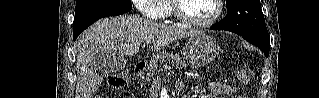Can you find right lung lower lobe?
Returning <instances> with one entry per match:
<instances>
[{
  "label": "right lung lower lobe",
  "mask_w": 319,
  "mask_h": 98,
  "mask_svg": "<svg viewBox=\"0 0 319 98\" xmlns=\"http://www.w3.org/2000/svg\"><path fill=\"white\" fill-rule=\"evenodd\" d=\"M128 11L130 10L105 9L100 11L87 12V13L75 16L74 22H73V40L75 41L78 35L84 29H86L88 26H90L92 23H94L98 19L103 17H108V16L122 15Z\"/></svg>",
  "instance_id": "obj_1"
}]
</instances>
